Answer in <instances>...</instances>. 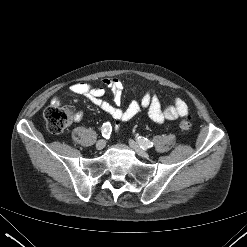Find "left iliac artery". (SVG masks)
I'll list each match as a JSON object with an SVG mask.
<instances>
[{
  "label": "left iliac artery",
  "mask_w": 247,
  "mask_h": 247,
  "mask_svg": "<svg viewBox=\"0 0 247 247\" xmlns=\"http://www.w3.org/2000/svg\"><path fill=\"white\" fill-rule=\"evenodd\" d=\"M137 142L142 149H148V148L153 147V142H151L150 140L146 138L138 137Z\"/></svg>",
  "instance_id": "44dca946"
}]
</instances>
